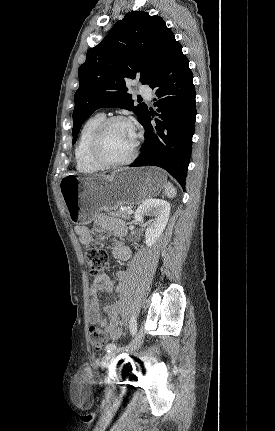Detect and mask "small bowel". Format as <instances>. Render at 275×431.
I'll return each instance as SVG.
<instances>
[{"label":"small bowel","instance_id":"1","mask_svg":"<svg viewBox=\"0 0 275 431\" xmlns=\"http://www.w3.org/2000/svg\"><path fill=\"white\" fill-rule=\"evenodd\" d=\"M94 230L101 234L110 233L116 237H122L126 233L124 223L118 219L106 216L99 217L94 224ZM75 233L79 236L83 245H89L93 241L92 230L87 226L77 225ZM111 250L114 257L120 261H127L131 258V249L121 241H112ZM125 272H118V277L123 278ZM114 288V280L108 275L101 274L96 276L90 286L91 300L89 304V321L91 324L100 325L110 339L117 340L123 335L122 328L119 326L121 305L114 300L106 306H102L99 294L102 291L111 292Z\"/></svg>","mask_w":275,"mask_h":431}]
</instances>
